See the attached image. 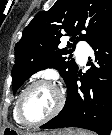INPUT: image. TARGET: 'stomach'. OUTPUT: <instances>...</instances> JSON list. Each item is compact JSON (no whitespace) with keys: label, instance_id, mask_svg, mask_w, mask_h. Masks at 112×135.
<instances>
[{"label":"stomach","instance_id":"obj_1","mask_svg":"<svg viewBox=\"0 0 112 135\" xmlns=\"http://www.w3.org/2000/svg\"><path fill=\"white\" fill-rule=\"evenodd\" d=\"M0 135H22L21 132L13 129V128H4L2 132H0ZM28 135H78L77 132L74 130H64V131H52V132H39V133H33Z\"/></svg>","mask_w":112,"mask_h":135}]
</instances>
